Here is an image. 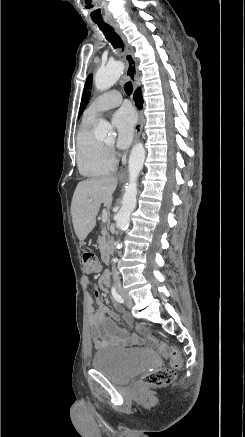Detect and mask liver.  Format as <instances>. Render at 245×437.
<instances>
[{
	"label": "liver",
	"instance_id": "1",
	"mask_svg": "<svg viewBox=\"0 0 245 437\" xmlns=\"http://www.w3.org/2000/svg\"><path fill=\"white\" fill-rule=\"evenodd\" d=\"M118 184L116 177L87 179L78 183L71 202L72 222L80 241L86 239L96 225V216L103 203L109 207ZM92 202H89V200Z\"/></svg>",
	"mask_w": 245,
	"mask_h": 437
}]
</instances>
